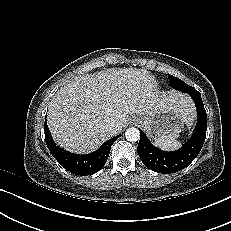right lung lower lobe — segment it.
Listing matches in <instances>:
<instances>
[{
    "instance_id": "right-lung-lower-lobe-1",
    "label": "right lung lower lobe",
    "mask_w": 231,
    "mask_h": 231,
    "mask_svg": "<svg viewBox=\"0 0 231 231\" xmlns=\"http://www.w3.org/2000/svg\"><path fill=\"white\" fill-rule=\"evenodd\" d=\"M46 145L52 156L67 170L75 175H91L102 169L108 159L112 144L119 136L105 142L98 150L93 153L79 155L68 152L55 144L48 125L44 124Z\"/></svg>"
}]
</instances>
